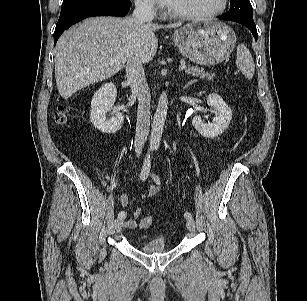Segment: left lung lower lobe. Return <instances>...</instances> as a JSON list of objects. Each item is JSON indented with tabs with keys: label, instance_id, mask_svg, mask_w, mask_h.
<instances>
[{
	"label": "left lung lower lobe",
	"instance_id": "0a47b994",
	"mask_svg": "<svg viewBox=\"0 0 307 301\" xmlns=\"http://www.w3.org/2000/svg\"><path fill=\"white\" fill-rule=\"evenodd\" d=\"M220 19L230 20V21L238 22V23L245 25L248 29L251 30L255 40L258 39L257 29H256V25H255L254 21H246V20H242V19H230V18H225L223 16L220 17Z\"/></svg>",
	"mask_w": 307,
	"mask_h": 301
}]
</instances>
